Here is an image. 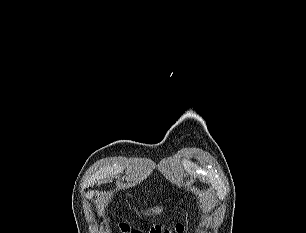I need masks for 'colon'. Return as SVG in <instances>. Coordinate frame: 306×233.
I'll use <instances>...</instances> for the list:
<instances>
[{
	"instance_id": "1",
	"label": "colon",
	"mask_w": 306,
	"mask_h": 233,
	"mask_svg": "<svg viewBox=\"0 0 306 233\" xmlns=\"http://www.w3.org/2000/svg\"><path fill=\"white\" fill-rule=\"evenodd\" d=\"M122 230L127 233H143V230L138 228H129L123 226ZM184 226L182 224H177L173 228H163L161 226H155L150 229V233H182Z\"/></svg>"
}]
</instances>
